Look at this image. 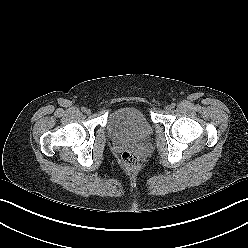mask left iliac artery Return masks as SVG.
<instances>
[{
  "label": "left iliac artery",
  "instance_id": "1",
  "mask_svg": "<svg viewBox=\"0 0 248 248\" xmlns=\"http://www.w3.org/2000/svg\"><path fill=\"white\" fill-rule=\"evenodd\" d=\"M175 106H176L175 103H172V104H171V107H172V108H175Z\"/></svg>",
  "mask_w": 248,
  "mask_h": 248
}]
</instances>
